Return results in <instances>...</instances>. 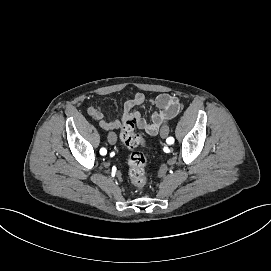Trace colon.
Listing matches in <instances>:
<instances>
[{"mask_svg":"<svg viewBox=\"0 0 271 271\" xmlns=\"http://www.w3.org/2000/svg\"><path fill=\"white\" fill-rule=\"evenodd\" d=\"M120 139L127 148L133 150L128 160V175L133 186L138 191H142L147 184L145 171L147 156L144 152L136 149L144 145V138L141 134L136 132L135 123L133 121H127L123 126Z\"/></svg>","mask_w":271,"mask_h":271,"instance_id":"1","label":"colon"}]
</instances>
